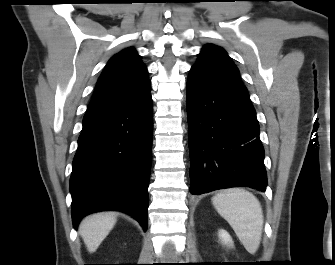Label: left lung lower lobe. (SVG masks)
I'll return each instance as SVG.
<instances>
[{
  "label": "left lung lower lobe",
  "instance_id": "left-lung-lower-lobe-1",
  "mask_svg": "<svg viewBox=\"0 0 335 265\" xmlns=\"http://www.w3.org/2000/svg\"><path fill=\"white\" fill-rule=\"evenodd\" d=\"M190 192L251 187L267 175L259 124L248 91L192 67L187 82Z\"/></svg>",
  "mask_w": 335,
  "mask_h": 265
}]
</instances>
